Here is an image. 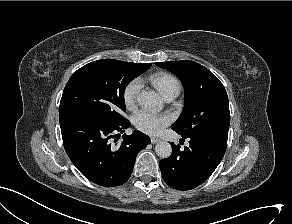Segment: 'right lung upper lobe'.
<instances>
[{"label":"right lung upper lobe","instance_id":"right-lung-upper-lobe-1","mask_svg":"<svg viewBox=\"0 0 292 224\" xmlns=\"http://www.w3.org/2000/svg\"><path fill=\"white\" fill-rule=\"evenodd\" d=\"M133 65H134L138 70H140L142 73H143L144 71H146L148 68L151 67V64H150V63H145V64H143V63L134 64V63H133Z\"/></svg>","mask_w":292,"mask_h":224}]
</instances>
